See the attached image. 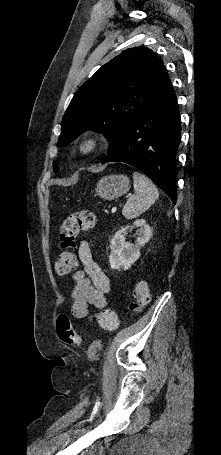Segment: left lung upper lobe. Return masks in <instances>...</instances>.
Returning <instances> with one entry per match:
<instances>
[{"instance_id": "obj_1", "label": "left lung upper lobe", "mask_w": 221, "mask_h": 455, "mask_svg": "<svg viewBox=\"0 0 221 455\" xmlns=\"http://www.w3.org/2000/svg\"><path fill=\"white\" fill-rule=\"evenodd\" d=\"M169 82L162 60L150 49L134 47L123 51L75 93L62 119L60 146L92 129L106 136L111 149ZM58 169L54 162L53 170Z\"/></svg>"}]
</instances>
